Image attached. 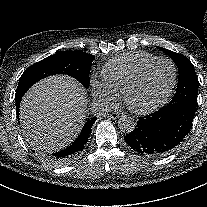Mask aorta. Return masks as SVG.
<instances>
[{"instance_id":"aorta-1","label":"aorta","mask_w":207,"mask_h":207,"mask_svg":"<svg viewBox=\"0 0 207 207\" xmlns=\"http://www.w3.org/2000/svg\"><path fill=\"white\" fill-rule=\"evenodd\" d=\"M118 127L121 132L129 134L134 131L136 122L132 117L123 115L118 120Z\"/></svg>"}]
</instances>
